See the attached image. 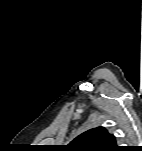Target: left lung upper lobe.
Returning a JSON list of instances; mask_svg holds the SVG:
<instances>
[{"instance_id":"obj_1","label":"left lung upper lobe","mask_w":142,"mask_h":151,"mask_svg":"<svg viewBox=\"0 0 142 151\" xmlns=\"http://www.w3.org/2000/svg\"><path fill=\"white\" fill-rule=\"evenodd\" d=\"M73 151H117L114 135L108 133L104 127L90 129L67 145Z\"/></svg>"}]
</instances>
